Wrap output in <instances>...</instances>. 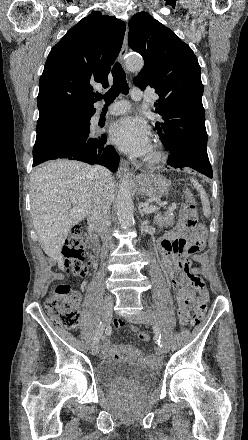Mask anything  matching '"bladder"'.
<instances>
[{
  "label": "bladder",
  "mask_w": 248,
  "mask_h": 440,
  "mask_svg": "<svg viewBox=\"0 0 248 440\" xmlns=\"http://www.w3.org/2000/svg\"><path fill=\"white\" fill-rule=\"evenodd\" d=\"M96 379L115 390H145L156 381V371L148 366L123 360H104L95 367Z\"/></svg>",
  "instance_id": "31cf9c89"
}]
</instances>
